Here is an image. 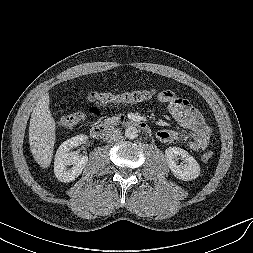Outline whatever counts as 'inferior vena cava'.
<instances>
[{"instance_id":"602c4592","label":"inferior vena cava","mask_w":253,"mask_h":253,"mask_svg":"<svg viewBox=\"0 0 253 253\" xmlns=\"http://www.w3.org/2000/svg\"><path fill=\"white\" fill-rule=\"evenodd\" d=\"M122 137V133L119 129H115L113 127H110L108 129L105 130L104 132V139L107 142H113V141H117Z\"/></svg>"}]
</instances>
